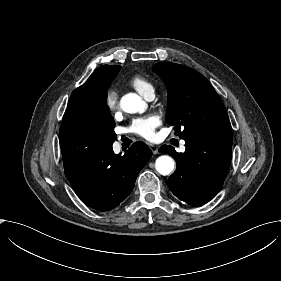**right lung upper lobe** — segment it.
Returning a JSON list of instances; mask_svg holds the SVG:
<instances>
[{
  "label": "right lung upper lobe",
  "instance_id": "1",
  "mask_svg": "<svg viewBox=\"0 0 281 281\" xmlns=\"http://www.w3.org/2000/svg\"><path fill=\"white\" fill-rule=\"evenodd\" d=\"M120 68L121 67L118 65H103L97 68L82 86L73 91L72 96L79 95L86 91H91L92 100L105 103L107 98V87L117 76ZM72 101L77 100L71 98L70 104H72Z\"/></svg>",
  "mask_w": 281,
  "mask_h": 281
}]
</instances>
